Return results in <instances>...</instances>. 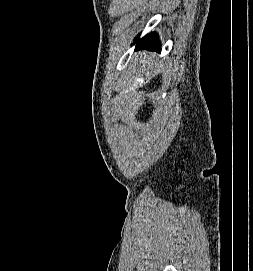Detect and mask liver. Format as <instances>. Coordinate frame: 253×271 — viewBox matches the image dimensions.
I'll list each match as a JSON object with an SVG mask.
<instances>
[{
	"label": "liver",
	"instance_id": "obj_1",
	"mask_svg": "<svg viewBox=\"0 0 253 271\" xmlns=\"http://www.w3.org/2000/svg\"><path fill=\"white\" fill-rule=\"evenodd\" d=\"M144 58H147L149 60V58L146 54L144 55ZM140 63H141V61H140ZM146 64H149V61L146 60Z\"/></svg>",
	"mask_w": 253,
	"mask_h": 271
}]
</instances>
